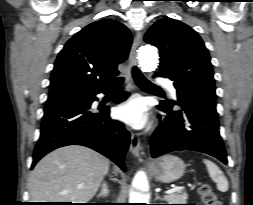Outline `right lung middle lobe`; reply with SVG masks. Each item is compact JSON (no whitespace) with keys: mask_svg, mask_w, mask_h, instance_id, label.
Here are the masks:
<instances>
[{"mask_svg":"<svg viewBox=\"0 0 253 205\" xmlns=\"http://www.w3.org/2000/svg\"><path fill=\"white\" fill-rule=\"evenodd\" d=\"M81 99H83V97L63 99V100L48 102L46 105H49V104H57V103H64V102H72V101H79V100H81Z\"/></svg>","mask_w":253,"mask_h":205,"instance_id":"dd1d6c3e","label":"right lung middle lobe"}]
</instances>
